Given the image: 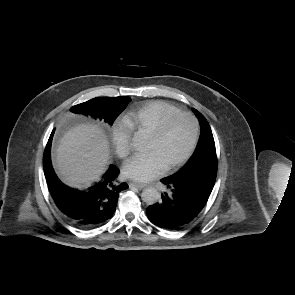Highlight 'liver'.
Segmentation results:
<instances>
[{
    "label": "liver",
    "mask_w": 295,
    "mask_h": 295,
    "mask_svg": "<svg viewBox=\"0 0 295 295\" xmlns=\"http://www.w3.org/2000/svg\"><path fill=\"white\" fill-rule=\"evenodd\" d=\"M109 160V142L95 125L80 124L62 137L57 149L55 168L69 186L82 187L99 179Z\"/></svg>",
    "instance_id": "1"
}]
</instances>
